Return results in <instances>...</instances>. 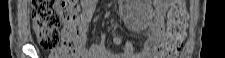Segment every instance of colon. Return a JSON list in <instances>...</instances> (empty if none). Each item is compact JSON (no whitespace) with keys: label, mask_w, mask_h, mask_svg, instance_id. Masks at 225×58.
Returning a JSON list of instances; mask_svg holds the SVG:
<instances>
[{"label":"colon","mask_w":225,"mask_h":58,"mask_svg":"<svg viewBox=\"0 0 225 58\" xmlns=\"http://www.w3.org/2000/svg\"><path fill=\"white\" fill-rule=\"evenodd\" d=\"M33 27L40 46L53 58H76L78 8L70 0H33ZM187 9L183 1H174L167 15V28L158 54L176 58L186 37Z\"/></svg>","instance_id":"colon-1"}]
</instances>
